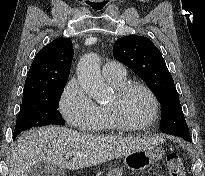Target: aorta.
Masks as SVG:
<instances>
[{"label":"aorta","mask_w":205,"mask_h":176,"mask_svg":"<svg viewBox=\"0 0 205 176\" xmlns=\"http://www.w3.org/2000/svg\"><path fill=\"white\" fill-rule=\"evenodd\" d=\"M77 78L82 89L92 98L101 101L107 96V85L100 71L99 57L94 53L84 55L77 65Z\"/></svg>","instance_id":"obj_1"}]
</instances>
